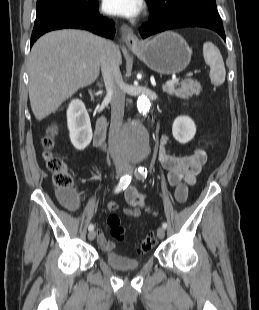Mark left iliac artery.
Listing matches in <instances>:
<instances>
[{
    "label": "left iliac artery",
    "instance_id": "44dca946",
    "mask_svg": "<svg viewBox=\"0 0 259 310\" xmlns=\"http://www.w3.org/2000/svg\"><path fill=\"white\" fill-rule=\"evenodd\" d=\"M135 174H136V177H137V178H142V177H145V178H146V176H147V169L144 168V167H139L138 170L135 172ZM162 227H163L164 229H166V228H167V223L164 222V223L162 224Z\"/></svg>",
    "mask_w": 259,
    "mask_h": 310
}]
</instances>
